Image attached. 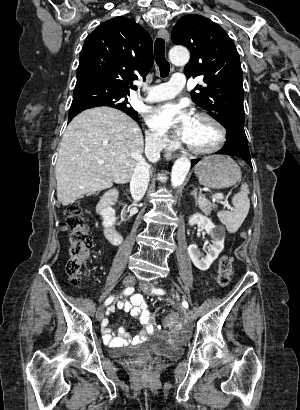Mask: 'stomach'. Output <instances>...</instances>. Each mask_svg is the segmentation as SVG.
I'll return each instance as SVG.
<instances>
[{"label":"stomach","mask_w":300,"mask_h":410,"mask_svg":"<svg viewBox=\"0 0 300 410\" xmlns=\"http://www.w3.org/2000/svg\"><path fill=\"white\" fill-rule=\"evenodd\" d=\"M200 184L221 189L233 186L241 178L239 166L228 156H210L195 167Z\"/></svg>","instance_id":"stomach-1"}]
</instances>
